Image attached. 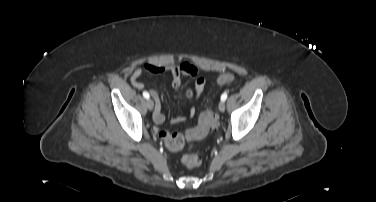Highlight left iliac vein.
I'll return each mask as SVG.
<instances>
[{
	"label": "left iliac vein",
	"mask_w": 376,
	"mask_h": 202,
	"mask_svg": "<svg viewBox=\"0 0 376 202\" xmlns=\"http://www.w3.org/2000/svg\"><path fill=\"white\" fill-rule=\"evenodd\" d=\"M218 108H219V110L221 112H224L225 111V102L221 100V102L219 103Z\"/></svg>",
	"instance_id": "obj_1"
}]
</instances>
